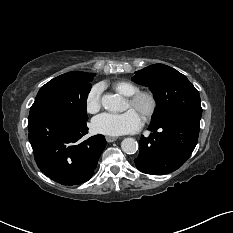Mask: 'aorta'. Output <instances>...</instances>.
<instances>
[{
  "instance_id": "1",
  "label": "aorta",
  "mask_w": 233,
  "mask_h": 233,
  "mask_svg": "<svg viewBox=\"0 0 233 233\" xmlns=\"http://www.w3.org/2000/svg\"><path fill=\"white\" fill-rule=\"evenodd\" d=\"M122 103V98L117 94H106L101 99L104 109L110 112L121 111ZM121 149L126 154H134L138 150L137 141L134 138H125L121 142Z\"/></svg>"
}]
</instances>
